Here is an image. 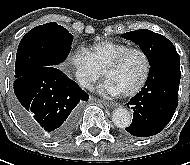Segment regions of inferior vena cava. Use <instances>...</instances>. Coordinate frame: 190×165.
Here are the masks:
<instances>
[{
  "instance_id": "inferior-vena-cava-1",
  "label": "inferior vena cava",
  "mask_w": 190,
  "mask_h": 165,
  "mask_svg": "<svg viewBox=\"0 0 190 165\" xmlns=\"http://www.w3.org/2000/svg\"><path fill=\"white\" fill-rule=\"evenodd\" d=\"M77 80L79 81V83L81 84V86L88 88L90 86V81L88 78L83 77L80 74H77Z\"/></svg>"
}]
</instances>
